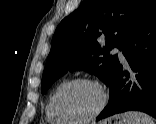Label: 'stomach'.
I'll return each instance as SVG.
<instances>
[{
  "mask_svg": "<svg viewBox=\"0 0 156 124\" xmlns=\"http://www.w3.org/2000/svg\"><path fill=\"white\" fill-rule=\"evenodd\" d=\"M109 124H128L125 118L121 115L115 116L112 120L109 121Z\"/></svg>",
  "mask_w": 156,
  "mask_h": 124,
  "instance_id": "0dacf381",
  "label": "stomach"
}]
</instances>
